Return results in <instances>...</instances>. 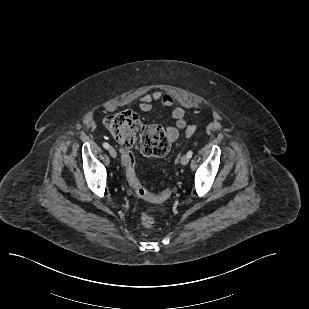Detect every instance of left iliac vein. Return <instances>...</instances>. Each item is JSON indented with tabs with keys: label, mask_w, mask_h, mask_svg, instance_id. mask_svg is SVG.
Masks as SVG:
<instances>
[{
	"label": "left iliac vein",
	"mask_w": 309,
	"mask_h": 309,
	"mask_svg": "<svg viewBox=\"0 0 309 309\" xmlns=\"http://www.w3.org/2000/svg\"><path fill=\"white\" fill-rule=\"evenodd\" d=\"M182 165H187L189 162V157L187 155H183L180 160Z\"/></svg>",
	"instance_id": "1"
}]
</instances>
